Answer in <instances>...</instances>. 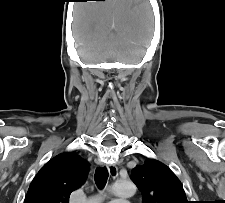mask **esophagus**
Masks as SVG:
<instances>
[{
	"label": "esophagus",
	"instance_id": "esophagus-1",
	"mask_svg": "<svg viewBox=\"0 0 225 203\" xmlns=\"http://www.w3.org/2000/svg\"><path fill=\"white\" fill-rule=\"evenodd\" d=\"M108 171L112 178H116L118 176V169H117L116 165H114V164L108 165Z\"/></svg>",
	"mask_w": 225,
	"mask_h": 203
}]
</instances>
